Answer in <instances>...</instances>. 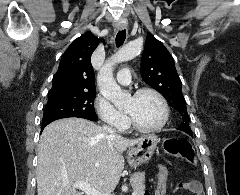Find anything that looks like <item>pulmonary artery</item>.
Instances as JSON below:
<instances>
[{"label": "pulmonary artery", "mask_w": 240, "mask_h": 195, "mask_svg": "<svg viewBox=\"0 0 240 195\" xmlns=\"http://www.w3.org/2000/svg\"><path fill=\"white\" fill-rule=\"evenodd\" d=\"M130 71H119L117 75V80L124 85H127L131 81Z\"/></svg>", "instance_id": "e3ab8cb5"}]
</instances>
